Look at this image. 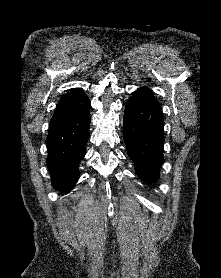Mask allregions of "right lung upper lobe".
<instances>
[{"label": "right lung upper lobe", "instance_id": "1", "mask_svg": "<svg viewBox=\"0 0 221 278\" xmlns=\"http://www.w3.org/2000/svg\"><path fill=\"white\" fill-rule=\"evenodd\" d=\"M90 106V100L79 89H73L64 95L57 105L51 119L49 132L80 116Z\"/></svg>", "mask_w": 221, "mask_h": 278}]
</instances>
